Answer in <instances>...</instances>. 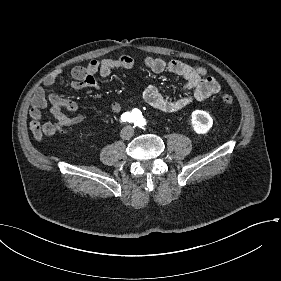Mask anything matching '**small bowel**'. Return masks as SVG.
Returning <instances> with one entry per match:
<instances>
[{
  "label": "small bowel",
  "instance_id": "1",
  "mask_svg": "<svg viewBox=\"0 0 281 281\" xmlns=\"http://www.w3.org/2000/svg\"><path fill=\"white\" fill-rule=\"evenodd\" d=\"M143 64L154 73H168L185 79L182 95L173 99L163 95L153 85L144 89L142 94L144 101L165 115H179L188 107L204 101L220 91V83L210 76L202 66L190 65L180 60H163L152 56L145 57ZM135 65V59L129 55L92 60L85 66L72 68L73 81L71 82V87L75 90L84 88L99 89L100 85L95 77L96 75L107 77L115 69L132 70ZM60 73L61 70H56L46 77L44 86H52ZM48 106L50 107L53 121L42 120V110ZM121 109L120 103L112 102L109 106L108 115L119 114ZM77 111L78 105L74 100L56 93L46 94L43 88H39L33 97L32 107L29 111L31 118L29 126L33 132V139L39 141L43 135L53 136L66 127L81 123L83 116Z\"/></svg>",
  "mask_w": 281,
  "mask_h": 281
}]
</instances>
